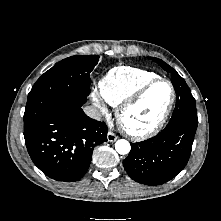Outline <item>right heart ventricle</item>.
Returning <instances> with one entry per match:
<instances>
[{
	"mask_svg": "<svg viewBox=\"0 0 221 221\" xmlns=\"http://www.w3.org/2000/svg\"><path fill=\"white\" fill-rule=\"evenodd\" d=\"M159 77L156 73L131 67L112 68L99 82L103 101L111 106H118L131 97L142 85Z\"/></svg>",
	"mask_w": 221,
	"mask_h": 221,
	"instance_id": "1",
	"label": "right heart ventricle"
}]
</instances>
